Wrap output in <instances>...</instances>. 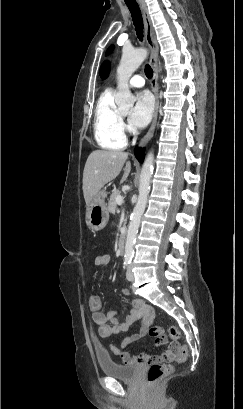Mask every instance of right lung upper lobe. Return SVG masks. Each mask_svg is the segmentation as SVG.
Returning <instances> with one entry per match:
<instances>
[{"label": "right lung upper lobe", "instance_id": "1", "mask_svg": "<svg viewBox=\"0 0 243 409\" xmlns=\"http://www.w3.org/2000/svg\"><path fill=\"white\" fill-rule=\"evenodd\" d=\"M109 74V62H104L100 69V75L102 78H106Z\"/></svg>", "mask_w": 243, "mask_h": 409}]
</instances>
